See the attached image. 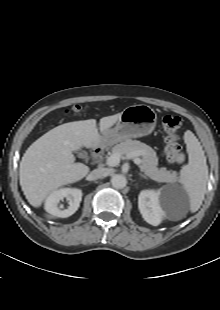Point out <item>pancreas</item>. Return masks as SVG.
Masks as SVG:
<instances>
[{
  "label": "pancreas",
  "instance_id": "pancreas-1",
  "mask_svg": "<svg viewBox=\"0 0 220 310\" xmlns=\"http://www.w3.org/2000/svg\"><path fill=\"white\" fill-rule=\"evenodd\" d=\"M112 153H119L121 156L142 157L140 169L146 176L157 182L173 183L177 181V173L168 171L166 168H158V157L156 152L148 145L132 139L115 145L112 148Z\"/></svg>",
  "mask_w": 220,
  "mask_h": 310
}]
</instances>
